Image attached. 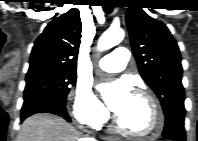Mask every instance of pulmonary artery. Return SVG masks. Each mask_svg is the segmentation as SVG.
<instances>
[{
    "label": "pulmonary artery",
    "mask_w": 198,
    "mask_h": 141,
    "mask_svg": "<svg viewBox=\"0 0 198 141\" xmlns=\"http://www.w3.org/2000/svg\"><path fill=\"white\" fill-rule=\"evenodd\" d=\"M130 58V53L126 47L118 46L113 51L100 59L98 65L107 72H118L125 68Z\"/></svg>",
    "instance_id": "1"
}]
</instances>
